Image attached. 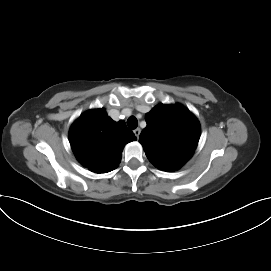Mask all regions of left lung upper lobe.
Returning a JSON list of instances; mask_svg holds the SVG:
<instances>
[{
  "label": "left lung upper lobe",
  "instance_id": "left-lung-upper-lobe-1",
  "mask_svg": "<svg viewBox=\"0 0 271 271\" xmlns=\"http://www.w3.org/2000/svg\"><path fill=\"white\" fill-rule=\"evenodd\" d=\"M145 119L147 126L139 142L149 161L164 171L182 167L198 144L200 125L197 118L181 105L159 104Z\"/></svg>",
  "mask_w": 271,
  "mask_h": 271
}]
</instances>
